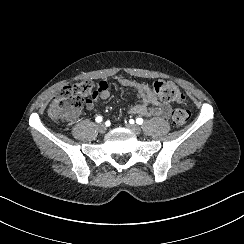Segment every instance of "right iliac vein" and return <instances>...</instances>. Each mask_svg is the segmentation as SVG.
<instances>
[{"instance_id": "right-iliac-vein-1", "label": "right iliac vein", "mask_w": 244, "mask_h": 244, "mask_svg": "<svg viewBox=\"0 0 244 244\" xmlns=\"http://www.w3.org/2000/svg\"><path fill=\"white\" fill-rule=\"evenodd\" d=\"M97 129L100 133H105L107 130V126L104 123H100L97 125Z\"/></svg>"}]
</instances>
